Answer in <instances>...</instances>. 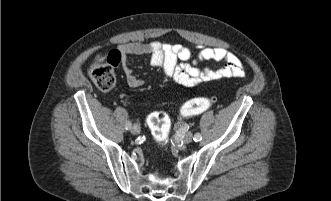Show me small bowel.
I'll use <instances>...</instances> for the list:
<instances>
[{
    "label": "small bowel",
    "mask_w": 331,
    "mask_h": 201,
    "mask_svg": "<svg viewBox=\"0 0 331 201\" xmlns=\"http://www.w3.org/2000/svg\"><path fill=\"white\" fill-rule=\"evenodd\" d=\"M197 48V55L193 57L192 50L181 44L161 41L130 42L120 45L117 52L122 62L126 82L132 88H138L144 84V81L135 75L128 64V58L132 55H148L150 66L161 69L168 78L185 87L245 76L242 62L234 53L222 47L198 46ZM204 61H225V64L217 69L201 67L200 63Z\"/></svg>",
    "instance_id": "small-bowel-1"
}]
</instances>
